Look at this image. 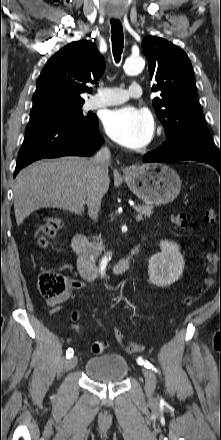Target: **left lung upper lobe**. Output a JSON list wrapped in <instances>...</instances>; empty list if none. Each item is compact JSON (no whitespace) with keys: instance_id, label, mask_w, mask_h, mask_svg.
Listing matches in <instances>:
<instances>
[{"instance_id":"1","label":"left lung upper lobe","mask_w":221,"mask_h":440,"mask_svg":"<svg viewBox=\"0 0 221 440\" xmlns=\"http://www.w3.org/2000/svg\"><path fill=\"white\" fill-rule=\"evenodd\" d=\"M142 51L156 81L152 91L161 92L153 107L168 138L166 146L180 153L221 157L197 104L195 75L186 53L155 36L144 38Z\"/></svg>"}]
</instances>
